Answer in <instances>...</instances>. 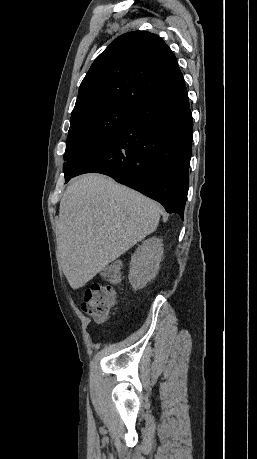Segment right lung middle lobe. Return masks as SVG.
<instances>
[{
	"label": "right lung middle lobe",
	"mask_w": 257,
	"mask_h": 459,
	"mask_svg": "<svg viewBox=\"0 0 257 459\" xmlns=\"http://www.w3.org/2000/svg\"><path fill=\"white\" fill-rule=\"evenodd\" d=\"M134 111L135 108L109 106L71 120L64 154L65 179L107 145L131 120Z\"/></svg>",
	"instance_id": "right-lung-middle-lobe-1"
}]
</instances>
